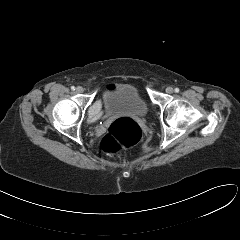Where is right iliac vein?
I'll list each match as a JSON object with an SVG mask.
<instances>
[{
    "mask_svg": "<svg viewBox=\"0 0 240 240\" xmlns=\"http://www.w3.org/2000/svg\"><path fill=\"white\" fill-rule=\"evenodd\" d=\"M84 91V89L81 87V86H78L77 88H76V92L77 93H82Z\"/></svg>",
    "mask_w": 240,
    "mask_h": 240,
    "instance_id": "63e3f726",
    "label": "right iliac vein"
}]
</instances>
